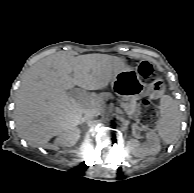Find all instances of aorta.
Masks as SVG:
<instances>
[{"label": "aorta", "instance_id": "obj_1", "mask_svg": "<svg viewBox=\"0 0 194 193\" xmlns=\"http://www.w3.org/2000/svg\"><path fill=\"white\" fill-rule=\"evenodd\" d=\"M118 113L114 109H109L105 112L104 117L108 120L117 117Z\"/></svg>", "mask_w": 194, "mask_h": 193}]
</instances>
